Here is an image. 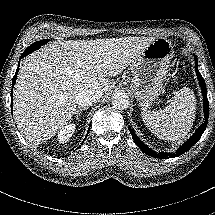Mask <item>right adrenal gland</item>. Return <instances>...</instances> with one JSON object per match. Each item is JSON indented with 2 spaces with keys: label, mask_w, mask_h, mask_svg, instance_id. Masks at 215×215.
<instances>
[{
  "label": "right adrenal gland",
  "mask_w": 215,
  "mask_h": 215,
  "mask_svg": "<svg viewBox=\"0 0 215 215\" xmlns=\"http://www.w3.org/2000/svg\"><path fill=\"white\" fill-rule=\"evenodd\" d=\"M82 111H83L82 108H78V109L76 110L75 114H76V119H77V120H79V117L81 116Z\"/></svg>",
  "instance_id": "1"
}]
</instances>
